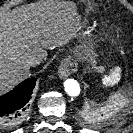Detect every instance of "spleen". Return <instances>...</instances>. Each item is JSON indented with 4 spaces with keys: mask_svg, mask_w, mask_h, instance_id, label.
Instances as JSON below:
<instances>
[{
    "mask_svg": "<svg viewBox=\"0 0 133 133\" xmlns=\"http://www.w3.org/2000/svg\"><path fill=\"white\" fill-rule=\"evenodd\" d=\"M123 105H124V100L121 99V100L119 101V103H118V106H119V107H122Z\"/></svg>",
    "mask_w": 133,
    "mask_h": 133,
    "instance_id": "3e777b00",
    "label": "spleen"
}]
</instances>
